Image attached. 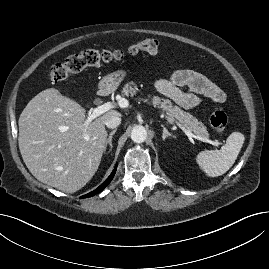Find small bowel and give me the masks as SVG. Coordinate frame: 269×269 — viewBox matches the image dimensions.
<instances>
[{"mask_svg": "<svg viewBox=\"0 0 269 269\" xmlns=\"http://www.w3.org/2000/svg\"><path fill=\"white\" fill-rule=\"evenodd\" d=\"M180 87H188L190 92H183ZM156 90L184 109L197 107L201 97L222 104L226 95L222 89L202 74L191 69L176 70L170 79L155 82Z\"/></svg>", "mask_w": 269, "mask_h": 269, "instance_id": "c3829d8e", "label": "small bowel"}]
</instances>
